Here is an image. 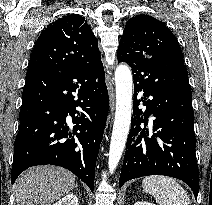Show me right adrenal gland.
Returning a JSON list of instances; mask_svg holds the SVG:
<instances>
[{
  "label": "right adrenal gland",
  "mask_w": 212,
  "mask_h": 205,
  "mask_svg": "<svg viewBox=\"0 0 212 205\" xmlns=\"http://www.w3.org/2000/svg\"><path fill=\"white\" fill-rule=\"evenodd\" d=\"M75 187L77 188V187H78V185L76 184V185H75Z\"/></svg>",
  "instance_id": "obj_1"
}]
</instances>
